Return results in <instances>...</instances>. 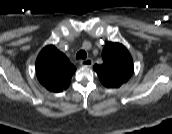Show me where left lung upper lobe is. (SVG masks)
Returning <instances> with one entry per match:
<instances>
[{
    "label": "left lung upper lobe",
    "mask_w": 172,
    "mask_h": 134,
    "mask_svg": "<svg viewBox=\"0 0 172 134\" xmlns=\"http://www.w3.org/2000/svg\"><path fill=\"white\" fill-rule=\"evenodd\" d=\"M102 59L103 63L94 65L93 69L105 87H120L132 76L133 60L122 44L107 42L102 52Z\"/></svg>",
    "instance_id": "1"
}]
</instances>
